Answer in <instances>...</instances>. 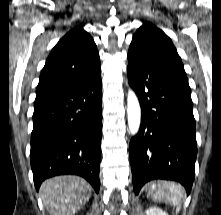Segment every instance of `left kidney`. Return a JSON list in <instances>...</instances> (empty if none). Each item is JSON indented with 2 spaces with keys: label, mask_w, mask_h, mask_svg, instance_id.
<instances>
[{
  "label": "left kidney",
  "mask_w": 221,
  "mask_h": 215,
  "mask_svg": "<svg viewBox=\"0 0 221 215\" xmlns=\"http://www.w3.org/2000/svg\"><path fill=\"white\" fill-rule=\"evenodd\" d=\"M146 215H168L160 208L152 207L146 210Z\"/></svg>",
  "instance_id": "obj_1"
}]
</instances>
